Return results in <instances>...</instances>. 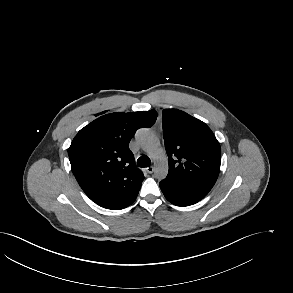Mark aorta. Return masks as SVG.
<instances>
[{
  "label": "aorta",
  "mask_w": 293,
  "mask_h": 293,
  "mask_svg": "<svg viewBox=\"0 0 293 293\" xmlns=\"http://www.w3.org/2000/svg\"><path fill=\"white\" fill-rule=\"evenodd\" d=\"M135 137L141 148L154 160L155 176L158 179H164L168 174V163L155 134L143 128L137 131Z\"/></svg>",
  "instance_id": "obj_1"
}]
</instances>
